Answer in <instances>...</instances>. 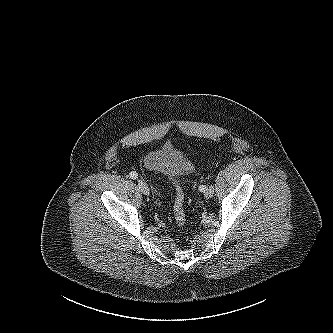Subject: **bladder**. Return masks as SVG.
Listing matches in <instances>:
<instances>
[{
    "mask_svg": "<svg viewBox=\"0 0 333 333\" xmlns=\"http://www.w3.org/2000/svg\"><path fill=\"white\" fill-rule=\"evenodd\" d=\"M144 167L155 173H165L173 178L183 179L194 170V164L181 151L165 146L145 155Z\"/></svg>",
    "mask_w": 333,
    "mask_h": 333,
    "instance_id": "31cf9c89",
    "label": "bladder"
}]
</instances>
